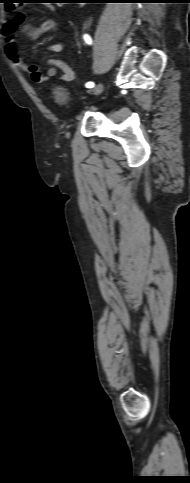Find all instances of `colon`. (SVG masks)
Here are the masks:
<instances>
[{"instance_id": "1", "label": "colon", "mask_w": 190, "mask_h": 483, "mask_svg": "<svg viewBox=\"0 0 190 483\" xmlns=\"http://www.w3.org/2000/svg\"><path fill=\"white\" fill-rule=\"evenodd\" d=\"M14 3H24V2H22L21 0L8 1L10 10H16L19 6L23 5V4H14Z\"/></svg>"}]
</instances>
